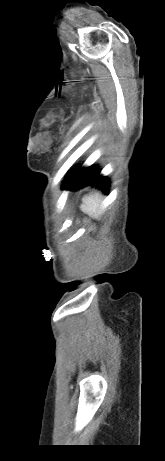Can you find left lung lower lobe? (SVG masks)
Instances as JSON below:
<instances>
[{"instance_id":"0a47b994","label":"left lung lower lobe","mask_w":165,"mask_h":461,"mask_svg":"<svg viewBox=\"0 0 165 461\" xmlns=\"http://www.w3.org/2000/svg\"><path fill=\"white\" fill-rule=\"evenodd\" d=\"M96 186L97 188L108 193L109 181L106 177L100 175L98 168L90 166L88 168H78L71 171L63 182V189H80L85 186Z\"/></svg>"}]
</instances>
